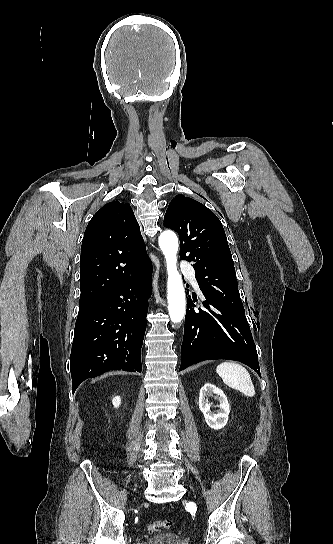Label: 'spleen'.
I'll return each instance as SVG.
<instances>
[{"instance_id":"3e777b00","label":"spleen","mask_w":333,"mask_h":544,"mask_svg":"<svg viewBox=\"0 0 333 544\" xmlns=\"http://www.w3.org/2000/svg\"><path fill=\"white\" fill-rule=\"evenodd\" d=\"M216 372L227 386L240 391L247 397L255 395L251 377L242 365L236 362H222L217 366Z\"/></svg>"}]
</instances>
